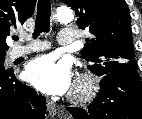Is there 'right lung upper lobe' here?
Wrapping results in <instances>:
<instances>
[{
    "label": "right lung upper lobe",
    "instance_id": "1",
    "mask_svg": "<svg viewBox=\"0 0 142 119\" xmlns=\"http://www.w3.org/2000/svg\"><path fill=\"white\" fill-rule=\"evenodd\" d=\"M36 0H0V53L9 49L6 37L10 30L16 29L30 18Z\"/></svg>",
    "mask_w": 142,
    "mask_h": 119
}]
</instances>
